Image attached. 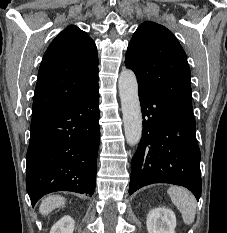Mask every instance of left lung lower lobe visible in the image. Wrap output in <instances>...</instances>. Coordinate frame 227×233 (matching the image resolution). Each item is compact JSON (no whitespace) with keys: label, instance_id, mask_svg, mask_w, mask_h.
<instances>
[{"label":"left lung lower lobe","instance_id":"1","mask_svg":"<svg viewBox=\"0 0 227 233\" xmlns=\"http://www.w3.org/2000/svg\"><path fill=\"white\" fill-rule=\"evenodd\" d=\"M143 134L132 159L129 194L153 183H170L201 195L200 149L193 109L138 87Z\"/></svg>","mask_w":227,"mask_h":233}]
</instances>
